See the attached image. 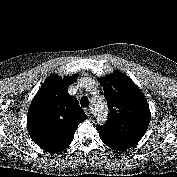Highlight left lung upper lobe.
<instances>
[{
  "instance_id": "5c2ea615",
  "label": "left lung upper lobe",
  "mask_w": 177,
  "mask_h": 177,
  "mask_svg": "<svg viewBox=\"0 0 177 177\" xmlns=\"http://www.w3.org/2000/svg\"><path fill=\"white\" fill-rule=\"evenodd\" d=\"M108 103L109 119L98 126L100 139L107 144L132 147L140 141L150 122L147 100L134 82L116 70L100 79Z\"/></svg>"
}]
</instances>
